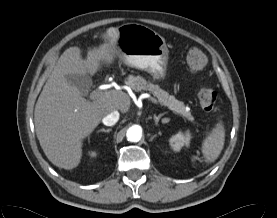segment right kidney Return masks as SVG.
Segmentation results:
<instances>
[{
  "label": "right kidney",
  "mask_w": 277,
  "mask_h": 218,
  "mask_svg": "<svg viewBox=\"0 0 277 218\" xmlns=\"http://www.w3.org/2000/svg\"><path fill=\"white\" fill-rule=\"evenodd\" d=\"M89 155L91 157H96L97 153L95 151H91V152H89Z\"/></svg>",
  "instance_id": "right-kidney-1"
}]
</instances>
